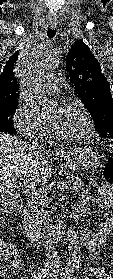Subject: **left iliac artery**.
<instances>
[{
    "label": "left iliac artery",
    "instance_id": "44dca946",
    "mask_svg": "<svg viewBox=\"0 0 113 279\" xmlns=\"http://www.w3.org/2000/svg\"><path fill=\"white\" fill-rule=\"evenodd\" d=\"M64 279H71V271H66L63 273Z\"/></svg>",
    "mask_w": 113,
    "mask_h": 279
}]
</instances>
